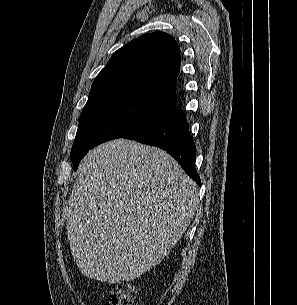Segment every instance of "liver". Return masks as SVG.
<instances>
[{"label":"liver","instance_id":"1","mask_svg":"<svg viewBox=\"0 0 297 305\" xmlns=\"http://www.w3.org/2000/svg\"><path fill=\"white\" fill-rule=\"evenodd\" d=\"M196 183L164 150L127 139L83 159L67 207V235L81 273L111 284L156 266L198 208Z\"/></svg>","mask_w":297,"mask_h":305}]
</instances>
